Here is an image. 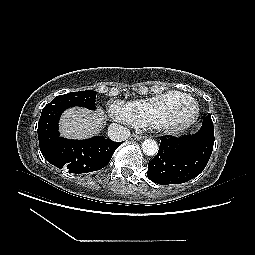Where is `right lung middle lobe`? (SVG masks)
<instances>
[{
	"mask_svg": "<svg viewBox=\"0 0 255 255\" xmlns=\"http://www.w3.org/2000/svg\"><path fill=\"white\" fill-rule=\"evenodd\" d=\"M95 97L96 92L93 90L71 92L56 96L51 103H48L43 108L38 129L46 134L53 132L58 127V120L62 112L69 107L80 106L94 110L96 108ZM49 141L45 140L43 145L47 146Z\"/></svg>",
	"mask_w": 255,
	"mask_h": 255,
	"instance_id": "obj_1",
	"label": "right lung middle lobe"
}]
</instances>
